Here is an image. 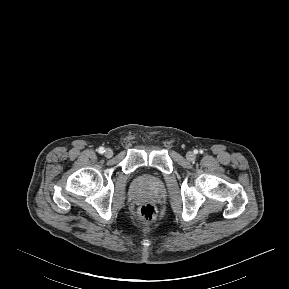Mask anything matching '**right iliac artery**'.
Segmentation results:
<instances>
[{"mask_svg":"<svg viewBox=\"0 0 289 289\" xmlns=\"http://www.w3.org/2000/svg\"><path fill=\"white\" fill-rule=\"evenodd\" d=\"M104 148L103 147H100L99 149H98V152L100 153V154H103L104 153Z\"/></svg>","mask_w":289,"mask_h":289,"instance_id":"1","label":"right iliac artery"}]
</instances>
